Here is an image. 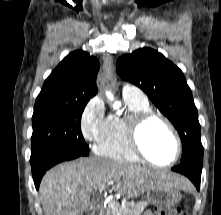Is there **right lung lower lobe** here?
I'll use <instances>...</instances> for the list:
<instances>
[{"instance_id": "1", "label": "right lung lower lobe", "mask_w": 221, "mask_h": 215, "mask_svg": "<svg viewBox=\"0 0 221 215\" xmlns=\"http://www.w3.org/2000/svg\"><path fill=\"white\" fill-rule=\"evenodd\" d=\"M89 154V150L84 149H64V150H56L43 158L39 159L35 163L31 164L32 167V176L35 183L36 189L39 188L41 179L45 172L50 169L52 166L63 162L78 158L80 156H87Z\"/></svg>"}]
</instances>
